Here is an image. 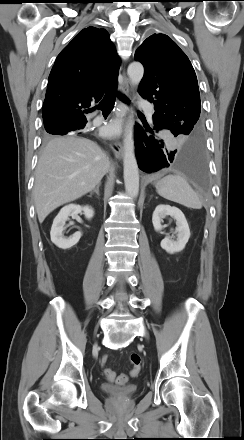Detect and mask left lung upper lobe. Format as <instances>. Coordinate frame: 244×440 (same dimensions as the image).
<instances>
[{
  "instance_id": "1",
  "label": "left lung upper lobe",
  "mask_w": 244,
  "mask_h": 440,
  "mask_svg": "<svg viewBox=\"0 0 244 440\" xmlns=\"http://www.w3.org/2000/svg\"><path fill=\"white\" fill-rule=\"evenodd\" d=\"M144 66L139 94L154 103V117L176 137L201 135V103L193 66L179 46L165 34L148 37L135 52Z\"/></svg>"
}]
</instances>
